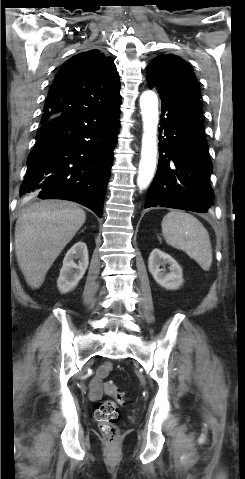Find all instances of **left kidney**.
<instances>
[{
    "label": "left kidney",
    "instance_id": "left-kidney-1",
    "mask_svg": "<svg viewBox=\"0 0 245 479\" xmlns=\"http://www.w3.org/2000/svg\"><path fill=\"white\" fill-rule=\"evenodd\" d=\"M169 265L170 272L160 266ZM148 269L154 280L168 290H176L183 284L182 268L169 254L155 248L148 259Z\"/></svg>",
    "mask_w": 245,
    "mask_h": 479
}]
</instances>
